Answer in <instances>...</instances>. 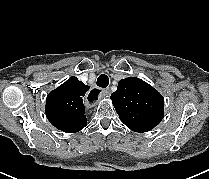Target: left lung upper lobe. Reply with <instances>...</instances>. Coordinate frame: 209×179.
<instances>
[{
	"label": "left lung upper lobe",
	"instance_id": "left-lung-upper-lobe-1",
	"mask_svg": "<svg viewBox=\"0 0 209 179\" xmlns=\"http://www.w3.org/2000/svg\"><path fill=\"white\" fill-rule=\"evenodd\" d=\"M111 100L123 123L136 132L150 131L164 116L162 95L139 78L120 80Z\"/></svg>",
	"mask_w": 209,
	"mask_h": 179
}]
</instances>
